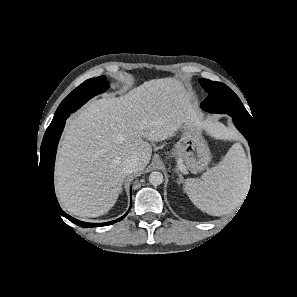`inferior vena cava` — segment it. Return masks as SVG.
Instances as JSON below:
<instances>
[{
	"mask_svg": "<svg viewBox=\"0 0 297 297\" xmlns=\"http://www.w3.org/2000/svg\"><path fill=\"white\" fill-rule=\"evenodd\" d=\"M137 165H138V159L135 157H129L123 162L122 170H123L124 174L127 175V174L134 172Z\"/></svg>",
	"mask_w": 297,
	"mask_h": 297,
	"instance_id": "inferior-vena-cava-1",
	"label": "inferior vena cava"
}]
</instances>
